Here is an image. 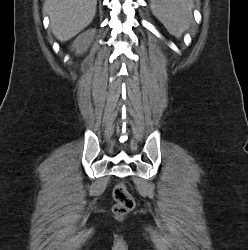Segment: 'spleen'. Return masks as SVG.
Here are the masks:
<instances>
[{
    "mask_svg": "<svg viewBox=\"0 0 248 250\" xmlns=\"http://www.w3.org/2000/svg\"><path fill=\"white\" fill-rule=\"evenodd\" d=\"M193 7V0H151L150 4L153 15L178 39L190 28Z\"/></svg>",
    "mask_w": 248,
    "mask_h": 250,
    "instance_id": "spleen-1",
    "label": "spleen"
}]
</instances>
